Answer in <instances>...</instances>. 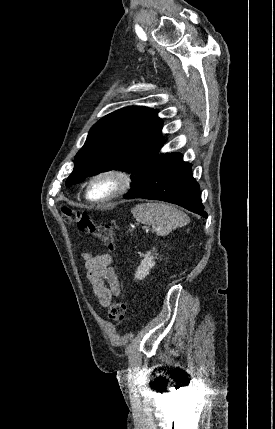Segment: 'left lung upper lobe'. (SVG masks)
Instances as JSON below:
<instances>
[{
  "label": "left lung upper lobe",
  "mask_w": 275,
  "mask_h": 429,
  "mask_svg": "<svg viewBox=\"0 0 275 429\" xmlns=\"http://www.w3.org/2000/svg\"><path fill=\"white\" fill-rule=\"evenodd\" d=\"M161 127L157 111L143 106H128L106 115L90 129L65 185L118 169L131 174L132 186L166 143Z\"/></svg>",
  "instance_id": "1"
}]
</instances>
